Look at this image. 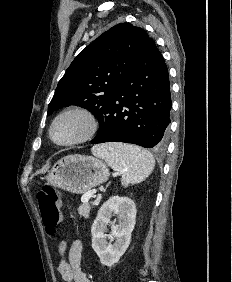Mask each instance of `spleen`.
Segmentation results:
<instances>
[{"instance_id": "obj_1", "label": "spleen", "mask_w": 232, "mask_h": 282, "mask_svg": "<svg viewBox=\"0 0 232 282\" xmlns=\"http://www.w3.org/2000/svg\"><path fill=\"white\" fill-rule=\"evenodd\" d=\"M92 153L104 159L115 171L122 173L121 183L124 186L136 184L146 179L153 171V155L138 146L111 143L98 145Z\"/></svg>"}]
</instances>
